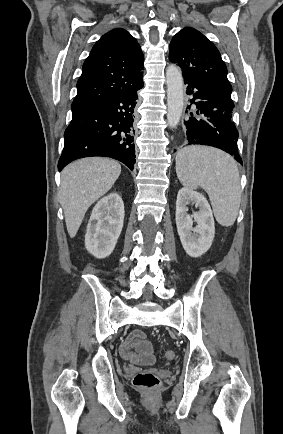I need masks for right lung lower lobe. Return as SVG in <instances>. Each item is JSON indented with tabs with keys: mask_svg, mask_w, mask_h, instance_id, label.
I'll list each match as a JSON object with an SVG mask.
<instances>
[{
	"mask_svg": "<svg viewBox=\"0 0 283 434\" xmlns=\"http://www.w3.org/2000/svg\"><path fill=\"white\" fill-rule=\"evenodd\" d=\"M143 85L142 82L126 93L72 111V121L64 133L59 171L75 159L91 156L114 158L133 169L134 108L137 91Z\"/></svg>",
	"mask_w": 283,
	"mask_h": 434,
	"instance_id": "obj_1",
	"label": "right lung lower lobe"
}]
</instances>
